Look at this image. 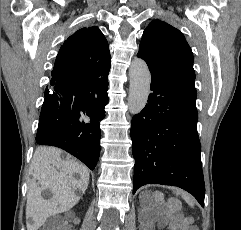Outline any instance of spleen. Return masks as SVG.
I'll list each match as a JSON object with an SVG mask.
<instances>
[{"label":"spleen","instance_id":"3e777b00","mask_svg":"<svg viewBox=\"0 0 241 230\" xmlns=\"http://www.w3.org/2000/svg\"><path fill=\"white\" fill-rule=\"evenodd\" d=\"M183 198L185 199V201H186L189 205H191V206L194 205L193 201L191 200V198H190L189 196L183 194Z\"/></svg>","mask_w":241,"mask_h":230}]
</instances>
